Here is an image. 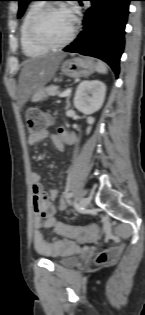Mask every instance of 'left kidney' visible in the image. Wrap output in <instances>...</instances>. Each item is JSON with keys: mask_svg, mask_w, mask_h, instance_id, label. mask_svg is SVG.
Returning <instances> with one entry per match:
<instances>
[{"mask_svg": "<svg viewBox=\"0 0 145 315\" xmlns=\"http://www.w3.org/2000/svg\"><path fill=\"white\" fill-rule=\"evenodd\" d=\"M105 93L106 86L103 82L99 80L82 81L75 93L74 106L85 115H90L102 107ZM94 121L95 119L93 117L89 116L87 118V123L89 125H92ZM90 130L91 126L87 128V134L90 133Z\"/></svg>", "mask_w": 145, "mask_h": 315, "instance_id": "5707ae66", "label": "left kidney"}]
</instances>
